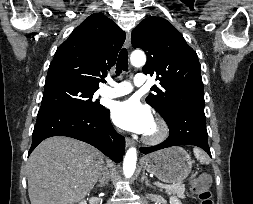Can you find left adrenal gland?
<instances>
[{
    "label": "left adrenal gland",
    "mask_w": 253,
    "mask_h": 204,
    "mask_svg": "<svg viewBox=\"0 0 253 204\" xmlns=\"http://www.w3.org/2000/svg\"><path fill=\"white\" fill-rule=\"evenodd\" d=\"M145 181V184L147 185V186H150L151 184L149 183V180H148V178H147V176L145 175V171L143 170L142 171V176H141V182H144Z\"/></svg>",
    "instance_id": "left-adrenal-gland-1"
}]
</instances>
